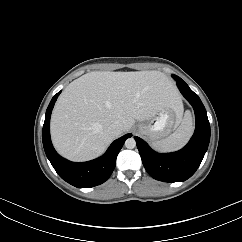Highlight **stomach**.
<instances>
[{
	"mask_svg": "<svg viewBox=\"0 0 242 242\" xmlns=\"http://www.w3.org/2000/svg\"><path fill=\"white\" fill-rule=\"evenodd\" d=\"M182 113H175L171 109H164L158 116L139 125V131L151 142H156L173 131L180 123Z\"/></svg>",
	"mask_w": 242,
	"mask_h": 242,
	"instance_id": "obj_1",
	"label": "stomach"
}]
</instances>
